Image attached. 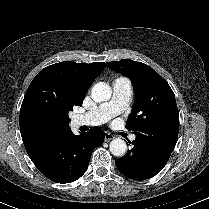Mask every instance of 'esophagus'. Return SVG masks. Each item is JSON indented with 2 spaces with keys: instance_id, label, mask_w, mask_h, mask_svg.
Masks as SVG:
<instances>
[{
  "instance_id": "esophagus-1",
  "label": "esophagus",
  "mask_w": 209,
  "mask_h": 209,
  "mask_svg": "<svg viewBox=\"0 0 209 209\" xmlns=\"http://www.w3.org/2000/svg\"><path fill=\"white\" fill-rule=\"evenodd\" d=\"M114 138L115 137L112 134H110V133H105L104 134V141L105 142H109V141L113 140Z\"/></svg>"
}]
</instances>
